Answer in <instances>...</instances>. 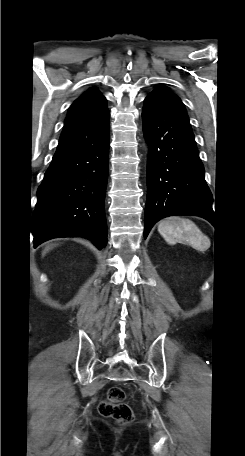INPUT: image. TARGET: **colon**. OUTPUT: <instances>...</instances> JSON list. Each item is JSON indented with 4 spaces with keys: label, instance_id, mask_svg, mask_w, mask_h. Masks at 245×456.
Segmentation results:
<instances>
[{
    "label": "colon",
    "instance_id": "1",
    "mask_svg": "<svg viewBox=\"0 0 245 456\" xmlns=\"http://www.w3.org/2000/svg\"><path fill=\"white\" fill-rule=\"evenodd\" d=\"M98 410L101 415L113 418L120 424L130 423L134 419L131 407L125 403L124 390L117 386L109 388Z\"/></svg>",
    "mask_w": 245,
    "mask_h": 456
}]
</instances>
